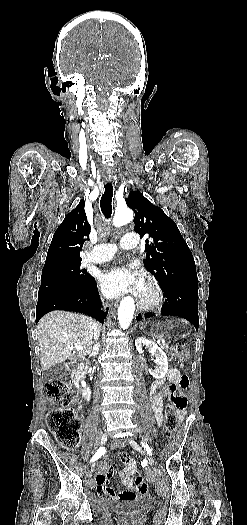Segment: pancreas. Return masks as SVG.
I'll return each mask as SVG.
<instances>
[{
	"instance_id": "pancreas-1",
	"label": "pancreas",
	"mask_w": 247,
	"mask_h": 525,
	"mask_svg": "<svg viewBox=\"0 0 247 525\" xmlns=\"http://www.w3.org/2000/svg\"><path fill=\"white\" fill-rule=\"evenodd\" d=\"M161 349H164V351H168L169 347H168V343H162V345H160Z\"/></svg>"
}]
</instances>
